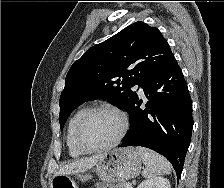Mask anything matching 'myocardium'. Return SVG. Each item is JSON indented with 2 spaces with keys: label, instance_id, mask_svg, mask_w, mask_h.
<instances>
[{
  "label": "myocardium",
  "instance_id": "obj_1",
  "mask_svg": "<svg viewBox=\"0 0 224 188\" xmlns=\"http://www.w3.org/2000/svg\"><path fill=\"white\" fill-rule=\"evenodd\" d=\"M100 111L109 112V113L116 115L120 120L121 129H120L118 135L115 137V139L113 141L109 142L108 144L98 146V147L86 146L81 140L82 128H83L85 122L88 120V118L91 115H93L96 112H100ZM128 128H129L128 117L122 110H120L114 106L107 105V104L97 105V106H94V107L88 109L78 120L75 130H74V142H75L76 147L83 153H94V152L104 151V150L113 148L116 145H118L121 142V140L124 138L125 134L127 133Z\"/></svg>",
  "mask_w": 224,
  "mask_h": 188
}]
</instances>
